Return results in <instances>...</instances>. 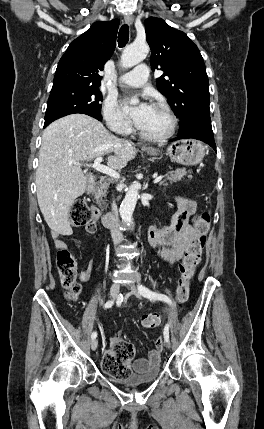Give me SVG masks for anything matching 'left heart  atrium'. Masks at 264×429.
<instances>
[{"label":"left heart atrium","instance_id":"left-heart-atrium-1","mask_svg":"<svg viewBox=\"0 0 264 429\" xmlns=\"http://www.w3.org/2000/svg\"><path fill=\"white\" fill-rule=\"evenodd\" d=\"M123 108L130 115L134 123L139 126L148 115L151 106L146 101H141L136 106H133L130 99H125Z\"/></svg>","mask_w":264,"mask_h":429}]
</instances>
